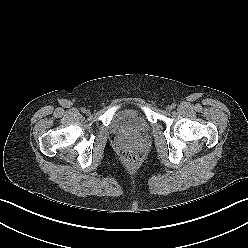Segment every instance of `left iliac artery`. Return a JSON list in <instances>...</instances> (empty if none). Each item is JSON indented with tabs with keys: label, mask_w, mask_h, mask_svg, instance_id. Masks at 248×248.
<instances>
[{
	"label": "left iliac artery",
	"mask_w": 248,
	"mask_h": 248,
	"mask_svg": "<svg viewBox=\"0 0 248 248\" xmlns=\"http://www.w3.org/2000/svg\"><path fill=\"white\" fill-rule=\"evenodd\" d=\"M171 107H172V109H174L176 107V104L172 103Z\"/></svg>",
	"instance_id": "44dca946"
}]
</instances>
